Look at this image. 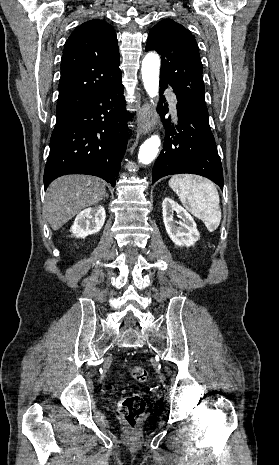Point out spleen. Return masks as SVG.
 Here are the masks:
<instances>
[{
    "instance_id": "spleen-1",
    "label": "spleen",
    "mask_w": 279,
    "mask_h": 465,
    "mask_svg": "<svg viewBox=\"0 0 279 465\" xmlns=\"http://www.w3.org/2000/svg\"><path fill=\"white\" fill-rule=\"evenodd\" d=\"M169 186L178 194L182 204L201 219L208 231L216 230L221 221L219 194L214 183L192 175H175Z\"/></svg>"
}]
</instances>
